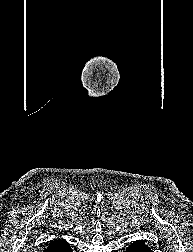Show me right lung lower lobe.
I'll return each instance as SVG.
<instances>
[{
    "mask_svg": "<svg viewBox=\"0 0 193 252\" xmlns=\"http://www.w3.org/2000/svg\"><path fill=\"white\" fill-rule=\"evenodd\" d=\"M44 252H72V250L66 241L59 239L52 242Z\"/></svg>",
    "mask_w": 193,
    "mask_h": 252,
    "instance_id": "98d812e1",
    "label": "right lung lower lobe"
}]
</instances>
